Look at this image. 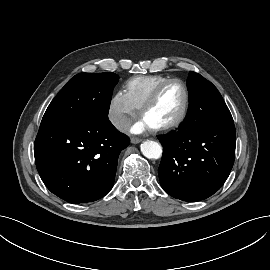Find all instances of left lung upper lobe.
<instances>
[{"mask_svg":"<svg viewBox=\"0 0 270 270\" xmlns=\"http://www.w3.org/2000/svg\"><path fill=\"white\" fill-rule=\"evenodd\" d=\"M187 87L190 111L196 123L211 126L233 123L227 105L211 82L195 72H190Z\"/></svg>","mask_w":270,"mask_h":270,"instance_id":"left-lung-upper-lobe-1","label":"left lung upper lobe"}]
</instances>
